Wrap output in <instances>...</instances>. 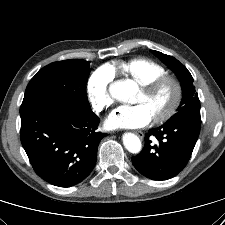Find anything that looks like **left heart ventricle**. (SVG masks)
Here are the masks:
<instances>
[{"label":"left heart ventricle","instance_id":"left-heart-ventricle-1","mask_svg":"<svg viewBox=\"0 0 225 225\" xmlns=\"http://www.w3.org/2000/svg\"><path fill=\"white\" fill-rule=\"evenodd\" d=\"M171 98V89L163 87L158 93L153 96H147L142 90L136 99V103L147 104L153 112V115L162 110Z\"/></svg>","mask_w":225,"mask_h":225}]
</instances>
